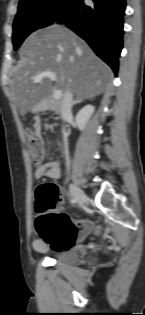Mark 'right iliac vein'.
Masks as SVG:
<instances>
[{"label": "right iliac vein", "instance_id": "right-iliac-vein-1", "mask_svg": "<svg viewBox=\"0 0 145 315\" xmlns=\"http://www.w3.org/2000/svg\"><path fill=\"white\" fill-rule=\"evenodd\" d=\"M69 189L73 197L77 200V202L80 205H83L87 202V196L84 194V192L78 188L76 185L70 183Z\"/></svg>", "mask_w": 145, "mask_h": 315}]
</instances>
